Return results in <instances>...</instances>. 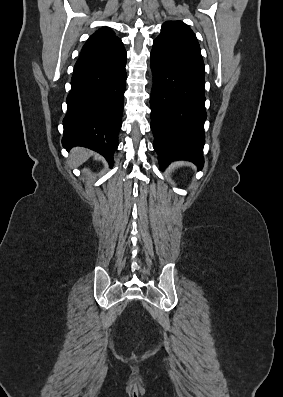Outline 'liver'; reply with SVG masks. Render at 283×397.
Masks as SVG:
<instances>
[{
	"label": "liver",
	"instance_id": "liver-1",
	"mask_svg": "<svg viewBox=\"0 0 283 397\" xmlns=\"http://www.w3.org/2000/svg\"><path fill=\"white\" fill-rule=\"evenodd\" d=\"M92 155V152L86 148L76 147L71 150L70 154V166L78 167L84 162H86L89 157Z\"/></svg>",
	"mask_w": 283,
	"mask_h": 397
}]
</instances>
